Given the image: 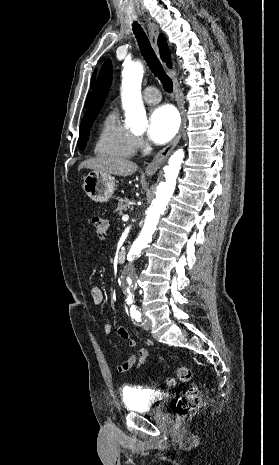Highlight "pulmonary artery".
<instances>
[{
  "label": "pulmonary artery",
  "instance_id": "obj_1",
  "mask_svg": "<svg viewBox=\"0 0 279 465\" xmlns=\"http://www.w3.org/2000/svg\"><path fill=\"white\" fill-rule=\"evenodd\" d=\"M143 98L147 103L154 104L160 101L161 95L157 88L150 86L144 90Z\"/></svg>",
  "mask_w": 279,
  "mask_h": 465
}]
</instances>
